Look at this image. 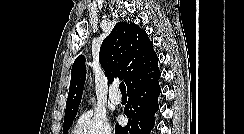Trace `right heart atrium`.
<instances>
[{
    "label": "right heart atrium",
    "instance_id": "right-heart-atrium-1",
    "mask_svg": "<svg viewBox=\"0 0 244 134\" xmlns=\"http://www.w3.org/2000/svg\"><path fill=\"white\" fill-rule=\"evenodd\" d=\"M76 134H113L107 117L100 112H83L76 122Z\"/></svg>",
    "mask_w": 244,
    "mask_h": 134
}]
</instances>
